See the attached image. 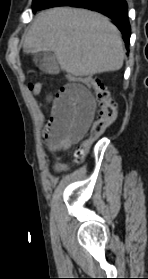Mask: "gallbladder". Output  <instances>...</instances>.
Segmentation results:
<instances>
[{"instance_id":"1","label":"gallbladder","mask_w":148,"mask_h":279,"mask_svg":"<svg viewBox=\"0 0 148 279\" xmlns=\"http://www.w3.org/2000/svg\"><path fill=\"white\" fill-rule=\"evenodd\" d=\"M33 62L46 74L57 75L60 72L58 61L50 52L42 51L34 54Z\"/></svg>"}]
</instances>
